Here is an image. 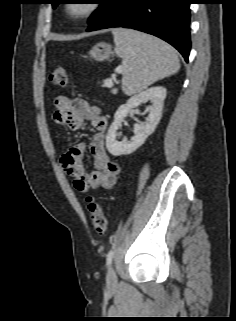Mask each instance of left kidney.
Returning <instances> with one entry per match:
<instances>
[{"mask_svg": "<svg viewBox=\"0 0 236 321\" xmlns=\"http://www.w3.org/2000/svg\"><path fill=\"white\" fill-rule=\"evenodd\" d=\"M165 98L166 89L158 86L134 95L125 104L121 105L115 113L114 122L111 124L106 136V147L109 153L114 156L127 155L139 148L147 137L154 132L158 125L162 116ZM149 100L152 101V106L149 109V116L147 117L146 122L134 126L135 135L129 142L117 141L116 133L121 126L123 119L133 108Z\"/></svg>", "mask_w": 236, "mask_h": 321, "instance_id": "left-kidney-1", "label": "left kidney"}]
</instances>
